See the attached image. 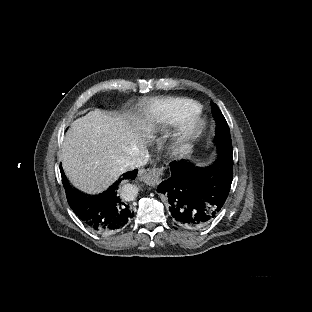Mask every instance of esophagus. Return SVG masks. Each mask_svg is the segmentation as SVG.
Here are the masks:
<instances>
[{
  "mask_svg": "<svg viewBox=\"0 0 312 312\" xmlns=\"http://www.w3.org/2000/svg\"><path fill=\"white\" fill-rule=\"evenodd\" d=\"M163 174V167H157L148 170H140L138 178L143 180L149 186H156L161 182V175Z\"/></svg>",
  "mask_w": 312,
  "mask_h": 312,
  "instance_id": "obj_1",
  "label": "esophagus"
}]
</instances>
